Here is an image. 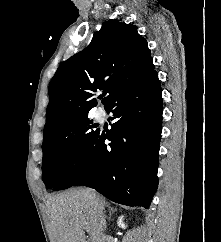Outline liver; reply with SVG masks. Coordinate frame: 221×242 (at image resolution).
Returning a JSON list of instances; mask_svg holds the SVG:
<instances>
[{
  "instance_id": "6515ba94",
  "label": "liver",
  "mask_w": 221,
  "mask_h": 242,
  "mask_svg": "<svg viewBox=\"0 0 221 242\" xmlns=\"http://www.w3.org/2000/svg\"><path fill=\"white\" fill-rule=\"evenodd\" d=\"M89 189H70L47 201V212L50 219L48 232L51 242H86V230L91 242H101L103 230L100 223V212L107 205L105 199L96 195L94 199Z\"/></svg>"
}]
</instances>
